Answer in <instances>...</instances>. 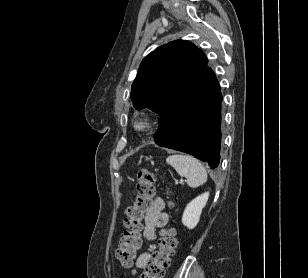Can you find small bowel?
Here are the masks:
<instances>
[{"instance_id":"c3829d8e","label":"small bowel","mask_w":308,"mask_h":278,"mask_svg":"<svg viewBox=\"0 0 308 278\" xmlns=\"http://www.w3.org/2000/svg\"><path fill=\"white\" fill-rule=\"evenodd\" d=\"M164 209V200L156 197L146 213L143 237L149 243V247L136 259L135 266L137 269L144 268L151 259L152 251L155 249L156 229L164 227L168 223V214Z\"/></svg>"}]
</instances>
